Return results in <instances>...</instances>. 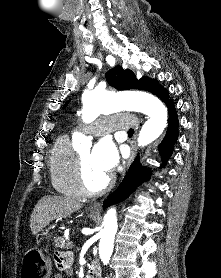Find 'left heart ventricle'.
<instances>
[{"mask_svg": "<svg viewBox=\"0 0 221 278\" xmlns=\"http://www.w3.org/2000/svg\"><path fill=\"white\" fill-rule=\"evenodd\" d=\"M79 154L84 166L87 184L92 189L99 188L106 181L108 174L102 172L94 165L92 162L90 149H84Z\"/></svg>", "mask_w": 221, "mask_h": 278, "instance_id": "b2bd125f", "label": "left heart ventricle"}]
</instances>
